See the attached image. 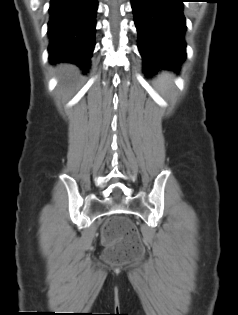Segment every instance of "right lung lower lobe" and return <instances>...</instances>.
<instances>
[{
    "label": "right lung lower lobe",
    "instance_id": "98d812e1",
    "mask_svg": "<svg viewBox=\"0 0 238 315\" xmlns=\"http://www.w3.org/2000/svg\"><path fill=\"white\" fill-rule=\"evenodd\" d=\"M97 8V0L50 1V63L71 62L88 71L95 46Z\"/></svg>",
    "mask_w": 238,
    "mask_h": 315
}]
</instances>
